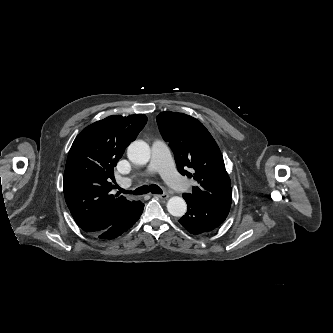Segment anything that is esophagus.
Segmentation results:
<instances>
[{
    "label": "esophagus",
    "mask_w": 333,
    "mask_h": 333,
    "mask_svg": "<svg viewBox=\"0 0 333 333\" xmlns=\"http://www.w3.org/2000/svg\"><path fill=\"white\" fill-rule=\"evenodd\" d=\"M153 196L156 197V198H159V199H163V200L169 198V195L167 193H164V194H154Z\"/></svg>",
    "instance_id": "obj_1"
}]
</instances>
